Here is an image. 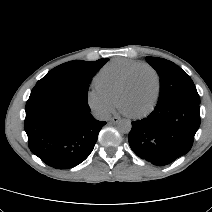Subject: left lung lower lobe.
Instances as JSON below:
<instances>
[{"label":"left lung lower lobe","instance_id":"1","mask_svg":"<svg viewBox=\"0 0 212 212\" xmlns=\"http://www.w3.org/2000/svg\"><path fill=\"white\" fill-rule=\"evenodd\" d=\"M199 126V104L174 99L157 104L148 117L133 121L128 141L138 157L164 166L189 152Z\"/></svg>","mask_w":212,"mask_h":212}]
</instances>
